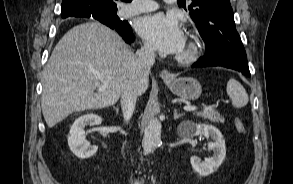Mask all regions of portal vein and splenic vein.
<instances>
[{"mask_svg": "<svg viewBox=\"0 0 293 184\" xmlns=\"http://www.w3.org/2000/svg\"><path fill=\"white\" fill-rule=\"evenodd\" d=\"M99 78H101V76L99 75ZM107 87V83H104L103 87L100 88L98 91H102L103 89H105ZM197 108L195 106H185L184 107V110L185 111H194L196 110Z\"/></svg>", "mask_w": 293, "mask_h": 184, "instance_id": "18ae733b", "label": "portal vein and splenic vein"}]
</instances>
